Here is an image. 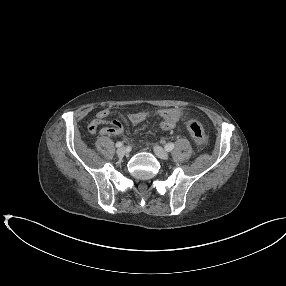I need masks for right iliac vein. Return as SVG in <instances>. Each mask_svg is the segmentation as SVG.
Here are the masks:
<instances>
[{
  "label": "right iliac vein",
  "mask_w": 286,
  "mask_h": 286,
  "mask_svg": "<svg viewBox=\"0 0 286 286\" xmlns=\"http://www.w3.org/2000/svg\"><path fill=\"white\" fill-rule=\"evenodd\" d=\"M117 155L119 157H124L125 155H127V150L125 147H120L119 149H117Z\"/></svg>",
  "instance_id": "63e3f726"
}]
</instances>
